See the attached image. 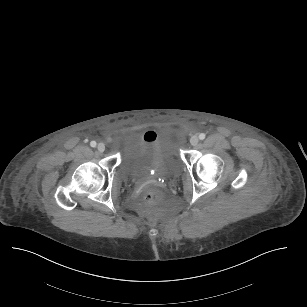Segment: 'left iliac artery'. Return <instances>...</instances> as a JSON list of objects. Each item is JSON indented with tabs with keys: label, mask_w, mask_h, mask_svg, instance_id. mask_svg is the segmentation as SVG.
Instances as JSON below:
<instances>
[{
	"label": "left iliac artery",
	"mask_w": 307,
	"mask_h": 307,
	"mask_svg": "<svg viewBox=\"0 0 307 307\" xmlns=\"http://www.w3.org/2000/svg\"><path fill=\"white\" fill-rule=\"evenodd\" d=\"M206 137V135L204 133L199 134V139L200 140H204Z\"/></svg>",
	"instance_id": "obj_1"
}]
</instances>
